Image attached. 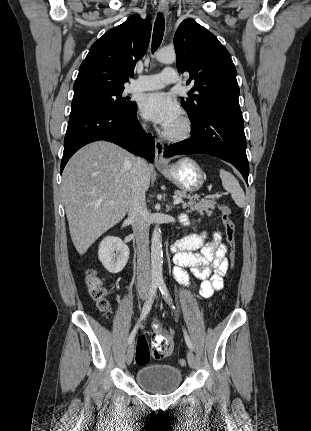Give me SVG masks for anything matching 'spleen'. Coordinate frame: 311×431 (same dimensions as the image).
<instances>
[{
  "instance_id": "spleen-1",
  "label": "spleen",
  "mask_w": 311,
  "mask_h": 431,
  "mask_svg": "<svg viewBox=\"0 0 311 431\" xmlns=\"http://www.w3.org/2000/svg\"><path fill=\"white\" fill-rule=\"evenodd\" d=\"M219 176L224 190L230 192L232 200H234L239 208H244L246 206V198L242 188L239 186L238 180L234 178L233 174L225 172V170H219Z\"/></svg>"
}]
</instances>
